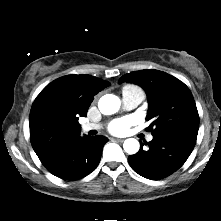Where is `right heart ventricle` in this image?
Segmentation results:
<instances>
[{"mask_svg": "<svg viewBox=\"0 0 221 221\" xmlns=\"http://www.w3.org/2000/svg\"><path fill=\"white\" fill-rule=\"evenodd\" d=\"M133 89H139V88H137L136 86L128 85V86H125V87L123 88V91H126V90H133Z\"/></svg>", "mask_w": 221, "mask_h": 221, "instance_id": "e07e8e85", "label": "right heart ventricle"}]
</instances>
